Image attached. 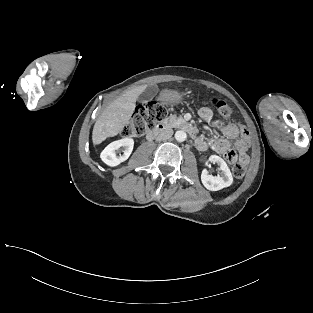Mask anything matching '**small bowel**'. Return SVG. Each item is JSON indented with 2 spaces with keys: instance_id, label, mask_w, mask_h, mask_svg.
I'll use <instances>...</instances> for the list:
<instances>
[{
  "instance_id": "c3829d8e",
  "label": "small bowel",
  "mask_w": 313,
  "mask_h": 313,
  "mask_svg": "<svg viewBox=\"0 0 313 313\" xmlns=\"http://www.w3.org/2000/svg\"><path fill=\"white\" fill-rule=\"evenodd\" d=\"M199 116L210 126L221 133L220 137L205 139L197 137L196 147L200 151L210 148L216 153L224 155L234 152L237 156L247 157V151L252 145V137L248 129L240 123H226L214 117L212 110L208 107H202L199 110ZM234 141L235 150L232 147Z\"/></svg>"
}]
</instances>
